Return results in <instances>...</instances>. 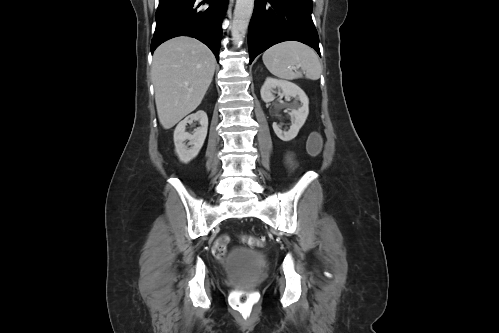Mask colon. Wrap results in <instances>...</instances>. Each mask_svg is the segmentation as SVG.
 <instances>
[{
  "mask_svg": "<svg viewBox=\"0 0 499 333\" xmlns=\"http://www.w3.org/2000/svg\"><path fill=\"white\" fill-rule=\"evenodd\" d=\"M322 150V137L318 132H312L307 141V151L310 156L316 157ZM243 240L252 246H263L264 240L254 236H244ZM229 237L219 236L213 243L212 253L217 259H222L227 251ZM258 301V297L251 291L235 289L229 297L230 306L243 316H249Z\"/></svg>",
  "mask_w": 499,
  "mask_h": 333,
  "instance_id": "5ec220e1",
  "label": "colon"
}]
</instances>
